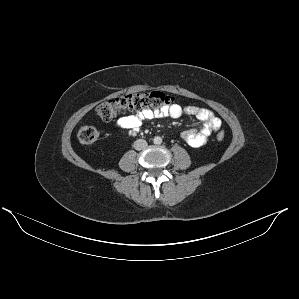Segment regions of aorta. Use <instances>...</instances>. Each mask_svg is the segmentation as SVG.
<instances>
[{
    "mask_svg": "<svg viewBox=\"0 0 299 299\" xmlns=\"http://www.w3.org/2000/svg\"><path fill=\"white\" fill-rule=\"evenodd\" d=\"M153 142H154V144L159 145L162 143V138L159 136H156V137H154Z\"/></svg>",
    "mask_w": 299,
    "mask_h": 299,
    "instance_id": "obj_1",
    "label": "aorta"
}]
</instances>
